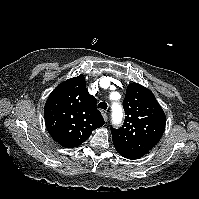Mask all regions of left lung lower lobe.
I'll return each mask as SVG.
<instances>
[{"instance_id":"1","label":"left lung lower lobe","mask_w":199,"mask_h":199,"mask_svg":"<svg viewBox=\"0 0 199 199\" xmlns=\"http://www.w3.org/2000/svg\"><path fill=\"white\" fill-rule=\"evenodd\" d=\"M118 152V151H117ZM120 155H122L123 157H125V158H127V159H134V158H132V157H129V156H127V155H125V154H122V153H120V152H118Z\"/></svg>"}]
</instances>
